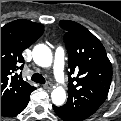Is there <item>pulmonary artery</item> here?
Listing matches in <instances>:
<instances>
[{"label":"pulmonary artery","instance_id":"obj_1","mask_svg":"<svg viewBox=\"0 0 121 121\" xmlns=\"http://www.w3.org/2000/svg\"><path fill=\"white\" fill-rule=\"evenodd\" d=\"M53 72L55 79L62 83L64 81V53L61 48L57 49L55 53Z\"/></svg>","mask_w":121,"mask_h":121}]
</instances>
